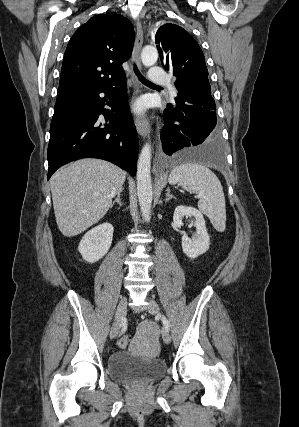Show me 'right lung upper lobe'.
I'll return each instance as SVG.
<instances>
[{"instance_id":"cb5924a9","label":"right lung upper lobe","mask_w":299,"mask_h":427,"mask_svg":"<svg viewBox=\"0 0 299 427\" xmlns=\"http://www.w3.org/2000/svg\"><path fill=\"white\" fill-rule=\"evenodd\" d=\"M133 45L134 29L128 19L112 12L93 16L67 45L57 101L118 82Z\"/></svg>"}]
</instances>
